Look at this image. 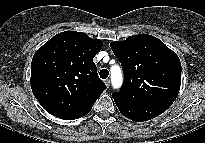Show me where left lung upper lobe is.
Here are the masks:
<instances>
[{
    "mask_svg": "<svg viewBox=\"0 0 205 143\" xmlns=\"http://www.w3.org/2000/svg\"><path fill=\"white\" fill-rule=\"evenodd\" d=\"M110 46L124 72L123 86L113 93L114 99L133 106L175 101L181 85V63L161 40L139 34Z\"/></svg>",
    "mask_w": 205,
    "mask_h": 143,
    "instance_id": "1",
    "label": "left lung upper lobe"
}]
</instances>
